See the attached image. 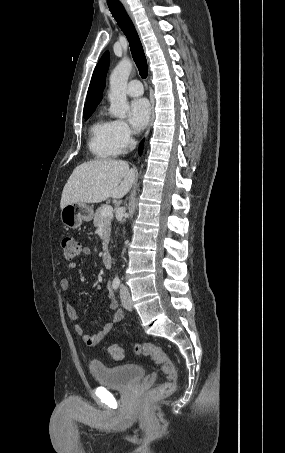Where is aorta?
Instances as JSON below:
<instances>
[{"label":"aorta","mask_w":285,"mask_h":453,"mask_svg":"<svg viewBox=\"0 0 285 453\" xmlns=\"http://www.w3.org/2000/svg\"><path fill=\"white\" fill-rule=\"evenodd\" d=\"M132 62L123 58L110 75V113L112 116L125 118L129 111L127 101V81L132 71Z\"/></svg>","instance_id":"aorta-1"}]
</instances>
